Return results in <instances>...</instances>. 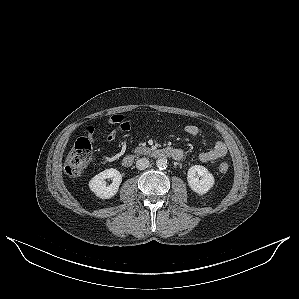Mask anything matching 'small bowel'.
<instances>
[{
	"instance_id": "obj_1",
	"label": "small bowel",
	"mask_w": 299,
	"mask_h": 299,
	"mask_svg": "<svg viewBox=\"0 0 299 299\" xmlns=\"http://www.w3.org/2000/svg\"><path fill=\"white\" fill-rule=\"evenodd\" d=\"M107 123L108 125L118 124L119 126L117 129L112 130L104 135L103 139L106 143L112 142L116 139L119 133L128 131L130 128V122L128 121V119L120 114L112 115L108 119ZM185 132L193 137H196L199 134V128L195 125H187L185 127ZM84 133L91 142L96 141L97 136L95 128L93 126H87L84 129ZM176 150L178 151V157L176 159H181L184 155L183 151L181 149ZM227 151V145L223 141H217L210 150L201 152L198 155V159L201 162L221 160L226 156Z\"/></svg>"
}]
</instances>
